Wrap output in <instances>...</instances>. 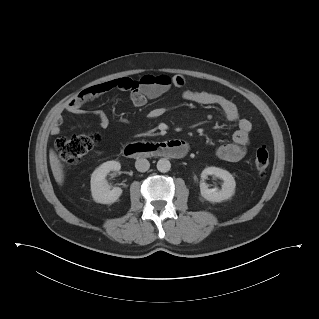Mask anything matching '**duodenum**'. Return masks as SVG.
<instances>
[{"mask_svg":"<svg viewBox=\"0 0 319 319\" xmlns=\"http://www.w3.org/2000/svg\"><path fill=\"white\" fill-rule=\"evenodd\" d=\"M188 150L187 144L182 140H166L158 143L137 142L126 146L122 155L126 157H164L181 159Z\"/></svg>","mask_w":319,"mask_h":319,"instance_id":"duodenum-1","label":"duodenum"}]
</instances>
